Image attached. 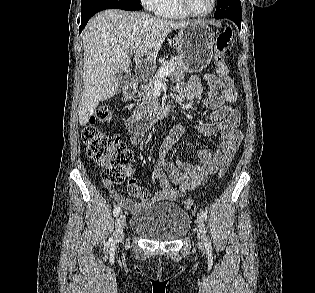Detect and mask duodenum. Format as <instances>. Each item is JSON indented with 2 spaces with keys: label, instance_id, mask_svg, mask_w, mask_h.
Instances as JSON below:
<instances>
[{
  "label": "duodenum",
  "instance_id": "1",
  "mask_svg": "<svg viewBox=\"0 0 315 293\" xmlns=\"http://www.w3.org/2000/svg\"><path fill=\"white\" fill-rule=\"evenodd\" d=\"M137 86L130 83L123 89L125 98H131L136 93ZM172 107V103H157L149 108L143 114L135 115L127 121V128L132 133H141L146 131L155 121L163 118Z\"/></svg>",
  "mask_w": 315,
  "mask_h": 293
}]
</instances>
